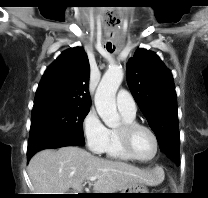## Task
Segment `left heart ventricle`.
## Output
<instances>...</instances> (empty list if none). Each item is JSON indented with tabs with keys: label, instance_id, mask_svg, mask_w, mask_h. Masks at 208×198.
Wrapping results in <instances>:
<instances>
[{
	"label": "left heart ventricle",
	"instance_id": "b2bd125f",
	"mask_svg": "<svg viewBox=\"0 0 208 198\" xmlns=\"http://www.w3.org/2000/svg\"><path fill=\"white\" fill-rule=\"evenodd\" d=\"M131 145L135 154L142 159L150 158L155 151L153 137L144 129H137L133 133Z\"/></svg>",
	"mask_w": 208,
	"mask_h": 198
}]
</instances>
